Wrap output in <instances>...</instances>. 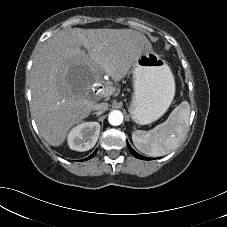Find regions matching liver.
<instances>
[{
  "mask_svg": "<svg viewBox=\"0 0 227 227\" xmlns=\"http://www.w3.org/2000/svg\"><path fill=\"white\" fill-rule=\"evenodd\" d=\"M147 51L152 52L147 37L132 29L73 28L48 39L30 73L31 113L40 135L51 146L62 145L69 130L90 115L95 102L116 91L105 84L94 93L99 71L118 82Z\"/></svg>",
  "mask_w": 227,
  "mask_h": 227,
  "instance_id": "6515ba94",
  "label": "liver"
}]
</instances>
